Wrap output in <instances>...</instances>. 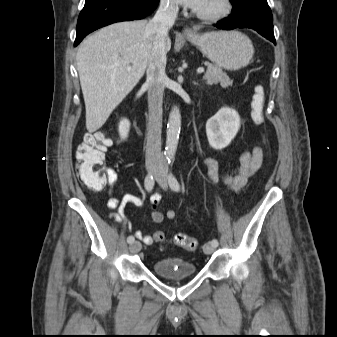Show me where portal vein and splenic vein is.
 I'll list each match as a JSON object with an SVG mask.
<instances>
[{
	"label": "portal vein and splenic vein",
	"mask_w": 337,
	"mask_h": 337,
	"mask_svg": "<svg viewBox=\"0 0 337 337\" xmlns=\"http://www.w3.org/2000/svg\"><path fill=\"white\" fill-rule=\"evenodd\" d=\"M127 69L130 70L131 67L129 66V67H127ZM203 72H204V68L203 67H200V68L197 69V73L200 74V73H203Z\"/></svg>",
	"instance_id": "obj_1"
}]
</instances>
